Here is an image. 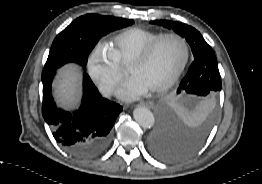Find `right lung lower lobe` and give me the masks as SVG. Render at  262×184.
Here are the masks:
<instances>
[{
  "instance_id": "obj_1",
  "label": "right lung lower lobe",
  "mask_w": 262,
  "mask_h": 184,
  "mask_svg": "<svg viewBox=\"0 0 262 184\" xmlns=\"http://www.w3.org/2000/svg\"><path fill=\"white\" fill-rule=\"evenodd\" d=\"M55 71L42 74V114L54 138L72 155L93 158L101 154L111 140V129L122 107L103 98L90 77L83 78V97L78 110L59 109L51 94Z\"/></svg>"
}]
</instances>
